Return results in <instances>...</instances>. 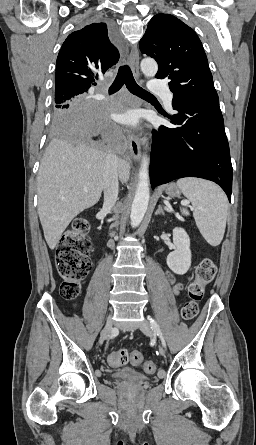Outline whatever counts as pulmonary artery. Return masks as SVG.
I'll return each mask as SVG.
<instances>
[{
    "label": "pulmonary artery",
    "instance_id": "obj_1",
    "mask_svg": "<svg viewBox=\"0 0 256 445\" xmlns=\"http://www.w3.org/2000/svg\"><path fill=\"white\" fill-rule=\"evenodd\" d=\"M149 89L153 92H161L164 95V102L165 105L171 109L172 108V94L171 92L166 88L165 84L157 78H153L151 80Z\"/></svg>",
    "mask_w": 256,
    "mask_h": 445
}]
</instances>
